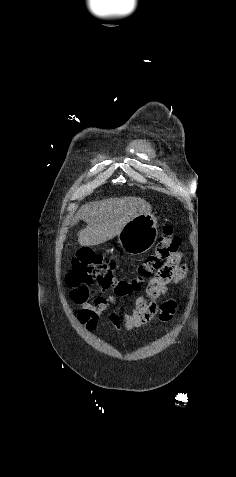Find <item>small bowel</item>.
Here are the masks:
<instances>
[{"label": "small bowel", "instance_id": "obj_1", "mask_svg": "<svg viewBox=\"0 0 236 477\" xmlns=\"http://www.w3.org/2000/svg\"><path fill=\"white\" fill-rule=\"evenodd\" d=\"M180 276V275H179ZM153 282L149 283L147 296H138L127 308L108 314V322L111 327L118 329L124 327L127 331L134 330L145 325L153 318L162 322L168 321L176 309V302L172 299L158 303L157 299L163 293L155 290ZM80 306L78 321L90 332H94L100 322L101 315L108 310L110 299L106 295L99 296L93 303L76 302Z\"/></svg>", "mask_w": 236, "mask_h": 477}]
</instances>
